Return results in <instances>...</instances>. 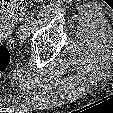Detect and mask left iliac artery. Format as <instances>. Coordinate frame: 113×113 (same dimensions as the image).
Instances as JSON below:
<instances>
[{
	"mask_svg": "<svg viewBox=\"0 0 113 113\" xmlns=\"http://www.w3.org/2000/svg\"><path fill=\"white\" fill-rule=\"evenodd\" d=\"M34 13H35L34 9L29 12V14L25 18V24L30 23L34 19Z\"/></svg>",
	"mask_w": 113,
	"mask_h": 113,
	"instance_id": "1",
	"label": "left iliac artery"
}]
</instances>
